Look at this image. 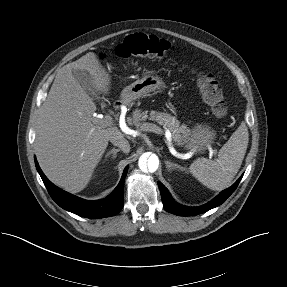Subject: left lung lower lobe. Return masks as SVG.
<instances>
[{"mask_svg":"<svg viewBox=\"0 0 287 287\" xmlns=\"http://www.w3.org/2000/svg\"><path fill=\"white\" fill-rule=\"evenodd\" d=\"M242 176L231 187L222 191L218 196H216L211 202L203 206H199V207H186V206L177 204L175 201H173V199L171 198L165 186L161 182H158L160 192H161L163 207L166 211L173 213L175 215H179V216H193V215L204 213L206 211H209L212 208H215L221 205L235 191Z\"/></svg>","mask_w":287,"mask_h":287,"instance_id":"1","label":"left lung lower lobe"}]
</instances>
